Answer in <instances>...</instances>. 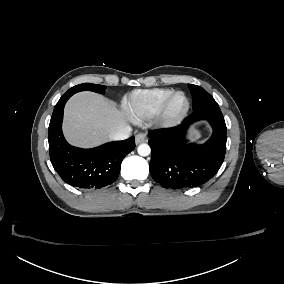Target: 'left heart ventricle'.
<instances>
[{"instance_id":"b2bd125f","label":"left heart ventricle","mask_w":284,"mask_h":284,"mask_svg":"<svg viewBox=\"0 0 284 284\" xmlns=\"http://www.w3.org/2000/svg\"><path fill=\"white\" fill-rule=\"evenodd\" d=\"M185 108V96L182 93L175 95L169 102L166 117L168 119L179 116Z\"/></svg>"}]
</instances>
